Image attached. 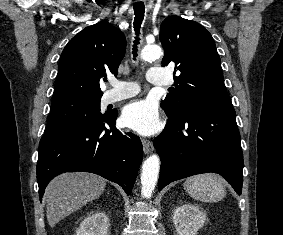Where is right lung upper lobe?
<instances>
[{
	"label": "right lung upper lobe",
	"mask_w": 283,
	"mask_h": 235,
	"mask_svg": "<svg viewBox=\"0 0 283 235\" xmlns=\"http://www.w3.org/2000/svg\"><path fill=\"white\" fill-rule=\"evenodd\" d=\"M124 34L107 21L86 27L65 46L59 61L52 102L101 97L99 81L117 75L124 57Z\"/></svg>",
	"instance_id": "obj_1"
}]
</instances>
